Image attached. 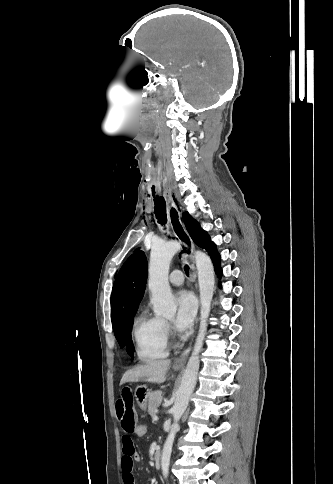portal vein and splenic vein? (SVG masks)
<instances>
[{
  "label": "portal vein and splenic vein",
  "instance_id": "18ae733b",
  "mask_svg": "<svg viewBox=\"0 0 333 484\" xmlns=\"http://www.w3.org/2000/svg\"><path fill=\"white\" fill-rule=\"evenodd\" d=\"M152 420H153V421H157V420H158V417H157V416H154V417L152 418Z\"/></svg>",
  "mask_w": 333,
  "mask_h": 484
}]
</instances>
